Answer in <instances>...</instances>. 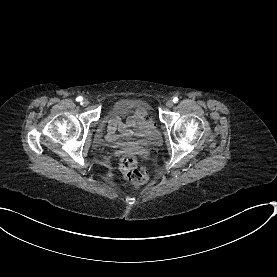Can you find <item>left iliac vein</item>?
<instances>
[{
  "label": "left iliac vein",
  "mask_w": 277,
  "mask_h": 277,
  "mask_svg": "<svg viewBox=\"0 0 277 277\" xmlns=\"http://www.w3.org/2000/svg\"><path fill=\"white\" fill-rule=\"evenodd\" d=\"M173 105H174L173 100H171V99L167 100V102H166L167 107L171 108Z\"/></svg>",
  "instance_id": "1"
}]
</instances>
